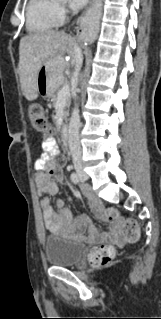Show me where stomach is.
Segmentation results:
<instances>
[{
	"mask_svg": "<svg viewBox=\"0 0 161 319\" xmlns=\"http://www.w3.org/2000/svg\"><path fill=\"white\" fill-rule=\"evenodd\" d=\"M63 70L57 57L48 59L38 72V93L51 97L63 83Z\"/></svg>",
	"mask_w": 161,
	"mask_h": 319,
	"instance_id": "1",
	"label": "stomach"
}]
</instances>
